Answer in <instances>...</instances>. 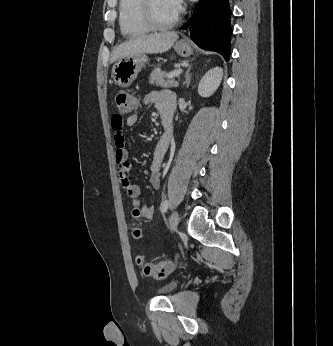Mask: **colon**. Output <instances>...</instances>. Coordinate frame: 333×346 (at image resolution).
Segmentation results:
<instances>
[{
  "mask_svg": "<svg viewBox=\"0 0 333 346\" xmlns=\"http://www.w3.org/2000/svg\"><path fill=\"white\" fill-rule=\"evenodd\" d=\"M115 104L117 108L116 115L123 119L124 116L132 112V110L135 107L136 101L135 98L127 92H117L115 95ZM133 214L134 216H139V211L134 210ZM133 235L135 238H139L141 235L140 230L137 228L134 229ZM137 262L139 265H141L144 275L156 279L165 278L173 270V265L170 261H162L159 263H146L144 262V259L141 256H139L137 257Z\"/></svg>",
  "mask_w": 333,
  "mask_h": 346,
  "instance_id": "colon-1",
  "label": "colon"
}]
</instances>
